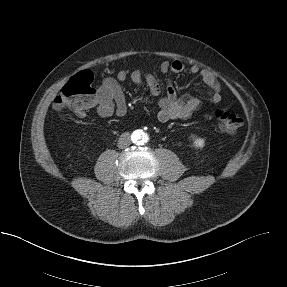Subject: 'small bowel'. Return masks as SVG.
<instances>
[{
  "instance_id": "1",
  "label": "small bowel",
  "mask_w": 287,
  "mask_h": 287,
  "mask_svg": "<svg viewBox=\"0 0 287 287\" xmlns=\"http://www.w3.org/2000/svg\"><path fill=\"white\" fill-rule=\"evenodd\" d=\"M160 71L164 74H180L187 71L195 75L208 87L209 99L212 103L218 104L222 101V86L218 77L210 70L200 69L196 65L186 68L180 60L172 62L163 61L160 64ZM130 79L135 85H146L151 95L156 99L158 106V120L167 122L175 119H188L202 107L200 96L178 95L171 80L165 84V92L160 82L151 73L143 70H120L116 78L106 77L97 91L95 106L99 117L107 118L112 115L124 116L127 113V103L121 83ZM84 117L85 112L78 113Z\"/></svg>"
}]
</instances>
